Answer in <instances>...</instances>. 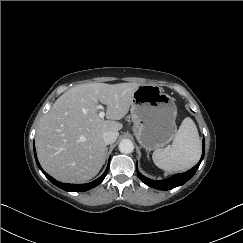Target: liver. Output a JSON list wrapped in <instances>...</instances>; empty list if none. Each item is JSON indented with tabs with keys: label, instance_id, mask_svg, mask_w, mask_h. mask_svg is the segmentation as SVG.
Masks as SVG:
<instances>
[{
	"label": "liver",
	"instance_id": "obj_1",
	"mask_svg": "<svg viewBox=\"0 0 243 243\" xmlns=\"http://www.w3.org/2000/svg\"><path fill=\"white\" fill-rule=\"evenodd\" d=\"M137 83H89L63 93L43 115L35 143L42 168L55 179L82 183L95 177L105 162L103 134L118 133ZM98 102L107 106L99 117ZM119 135V133H118Z\"/></svg>",
	"mask_w": 243,
	"mask_h": 243
}]
</instances>
